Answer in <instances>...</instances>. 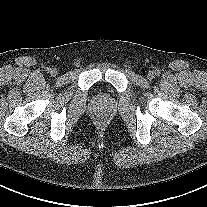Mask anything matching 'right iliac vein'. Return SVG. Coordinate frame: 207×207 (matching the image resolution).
<instances>
[{
    "label": "right iliac vein",
    "instance_id": "obj_1",
    "mask_svg": "<svg viewBox=\"0 0 207 207\" xmlns=\"http://www.w3.org/2000/svg\"><path fill=\"white\" fill-rule=\"evenodd\" d=\"M50 73L52 76H56L58 72L56 69H51Z\"/></svg>",
    "mask_w": 207,
    "mask_h": 207
}]
</instances>
